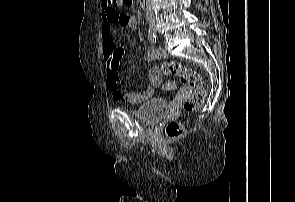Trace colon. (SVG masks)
Wrapping results in <instances>:
<instances>
[{"label":"colon","mask_w":295,"mask_h":202,"mask_svg":"<svg viewBox=\"0 0 295 202\" xmlns=\"http://www.w3.org/2000/svg\"><path fill=\"white\" fill-rule=\"evenodd\" d=\"M110 5L122 4L125 6H131L133 0H107ZM121 25H126L128 23V17L122 15L120 19ZM151 71H155V75H160V72L164 74L177 75L180 81L184 85H189L193 90L190 99L185 103L186 111H193L200 107L206 97V90L203 86V79L199 73L195 70L181 65L177 62L167 61L163 62L160 67L151 66ZM176 85L174 82H166L163 86L164 90H173ZM184 126L177 121H171L167 124L165 128V134L169 139H177L184 135Z\"/></svg>","instance_id":"obj_1"}]
</instances>
